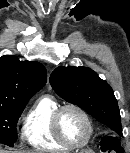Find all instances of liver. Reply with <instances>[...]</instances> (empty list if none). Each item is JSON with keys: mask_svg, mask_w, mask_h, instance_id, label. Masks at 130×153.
I'll use <instances>...</instances> for the list:
<instances>
[{"mask_svg": "<svg viewBox=\"0 0 130 153\" xmlns=\"http://www.w3.org/2000/svg\"><path fill=\"white\" fill-rule=\"evenodd\" d=\"M0 153H9V152L0 149ZM30 153H33V152H30Z\"/></svg>", "mask_w": 130, "mask_h": 153, "instance_id": "obj_1", "label": "liver"}]
</instances>
